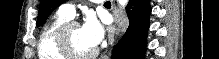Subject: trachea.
<instances>
[{"label":"trachea","instance_id":"obj_1","mask_svg":"<svg viewBox=\"0 0 219 59\" xmlns=\"http://www.w3.org/2000/svg\"><path fill=\"white\" fill-rule=\"evenodd\" d=\"M105 4H110V1H106Z\"/></svg>","mask_w":219,"mask_h":59}]
</instances>
